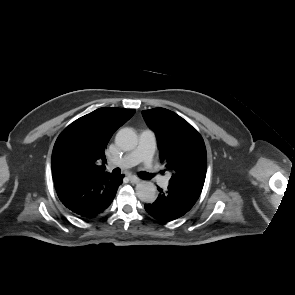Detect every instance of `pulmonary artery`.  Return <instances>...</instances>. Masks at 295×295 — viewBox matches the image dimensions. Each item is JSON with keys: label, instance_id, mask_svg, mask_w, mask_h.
<instances>
[{"label": "pulmonary artery", "instance_id": "obj_1", "mask_svg": "<svg viewBox=\"0 0 295 295\" xmlns=\"http://www.w3.org/2000/svg\"><path fill=\"white\" fill-rule=\"evenodd\" d=\"M154 150L155 135L151 130L146 129L140 133L136 149L122 158L112 161V163L122 168H130L143 162L146 169L153 176V179L160 186H166L168 184V177L160 175L153 165Z\"/></svg>", "mask_w": 295, "mask_h": 295}]
</instances>
